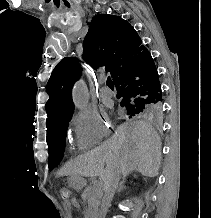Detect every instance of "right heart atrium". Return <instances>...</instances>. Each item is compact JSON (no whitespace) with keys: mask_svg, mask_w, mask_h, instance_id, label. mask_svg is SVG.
I'll list each match as a JSON object with an SVG mask.
<instances>
[{"mask_svg":"<svg viewBox=\"0 0 211 218\" xmlns=\"http://www.w3.org/2000/svg\"><path fill=\"white\" fill-rule=\"evenodd\" d=\"M76 143L81 148H88L97 144L108 132L103 114L93 108H84L71 119Z\"/></svg>","mask_w":211,"mask_h":218,"instance_id":"1","label":"right heart atrium"}]
</instances>
